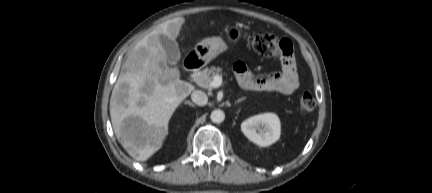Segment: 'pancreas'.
<instances>
[{"label":"pancreas","instance_id":"cf45deb5","mask_svg":"<svg viewBox=\"0 0 432 193\" xmlns=\"http://www.w3.org/2000/svg\"><path fill=\"white\" fill-rule=\"evenodd\" d=\"M216 75L222 76L221 68L215 66H212L210 68L207 67L202 71L195 73L193 76V80L198 86L211 90L212 87L210 86V84L214 76Z\"/></svg>","mask_w":432,"mask_h":193}]
</instances>
